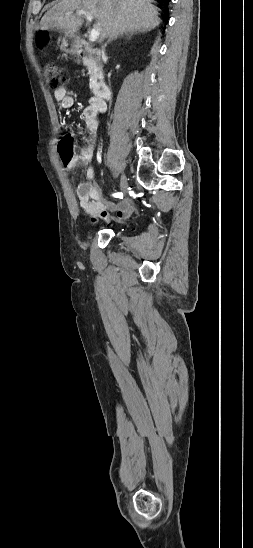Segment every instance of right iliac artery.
<instances>
[{"label":"right iliac artery","mask_w":253,"mask_h":548,"mask_svg":"<svg viewBox=\"0 0 253 548\" xmlns=\"http://www.w3.org/2000/svg\"><path fill=\"white\" fill-rule=\"evenodd\" d=\"M122 195H123L122 193H114L113 194V196L116 197V198H118V197L122 198Z\"/></svg>","instance_id":"obj_1"}]
</instances>
